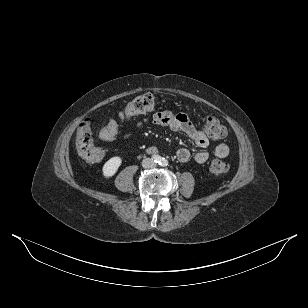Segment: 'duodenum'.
I'll use <instances>...</instances> for the list:
<instances>
[{
    "label": "duodenum",
    "instance_id": "410a0bca",
    "mask_svg": "<svg viewBox=\"0 0 308 308\" xmlns=\"http://www.w3.org/2000/svg\"><path fill=\"white\" fill-rule=\"evenodd\" d=\"M156 150L154 148L150 149L151 153H154Z\"/></svg>",
    "mask_w": 308,
    "mask_h": 308
}]
</instances>
